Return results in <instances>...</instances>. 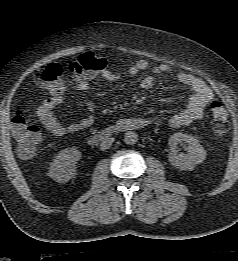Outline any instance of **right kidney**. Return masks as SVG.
I'll return each instance as SVG.
<instances>
[{
  "instance_id": "obj_1",
  "label": "right kidney",
  "mask_w": 238,
  "mask_h": 261,
  "mask_svg": "<svg viewBox=\"0 0 238 261\" xmlns=\"http://www.w3.org/2000/svg\"><path fill=\"white\" fill-rule=\"evenodd\" d=\"M81 158V152L75 148H67L59 152L49 169V176L59 183L69 181L76 174V164Z\"/></svg>"
}]
</instances>
